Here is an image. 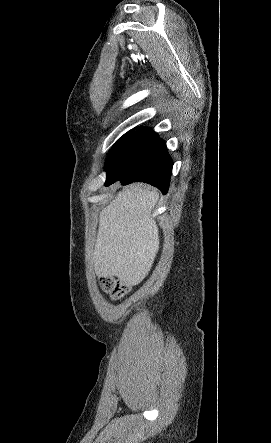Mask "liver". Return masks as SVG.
I'll return each mask as SVG.
<instances>
[{
	"mask_svg": "<svg viewBox=\"0 0 271 443\" xmlns=\"http://www.w3.org/2000/svg\"><path fill=\"white\" fill-rule=\"evenodd\" d=\"M158 200L155 188L130 184L103 208L92 253L96 275H115L126 285L146 277L160 243L158 225L151 218Z\"/></svg>",
	"mask_w": 271,
	"mask_h": 443,
	"instance_id": "1",
	"label": "liver"
}]
</instances>
